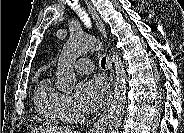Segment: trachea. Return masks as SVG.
<instances>
[{"label": "trachea", "mask_w": 184, "mask_h": 133, "mask_svg": "<svg viewBox=\"0 0 184 133\" xmlns=\"http://www.w3.org/2000/svg\"><path fill=\"white\" fill-rule=\"evenodd\" d=\"M105 65H106V58L103 57L102 60H101V67L105 68Z\"/></svg>", "instance_id": "obj_1"}]
</instances>
